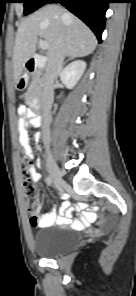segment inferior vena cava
Returning a JSON list of instances; mask_svg holds the SVG:
<instances>
[{
  "instance_id": "602c4592",
  "label": "inferior vena cava",
  "mask_w": 136,
  "mask_h": 296,
  "mask_svg": "<svg viewBox=\"0 0 136 296\" xmlns=\"http://www.w3.org/2000/svg\"><path fill=\"white\" fill-rule=\"evenodd\" d=\"M65 49L63 43H59L49 57L42 91V116H43V139L45 143L50 141L49 119L50 110L54 99L53 82L56 75L62 70L64 65Z\"/></svg>"
}]
</instances>
